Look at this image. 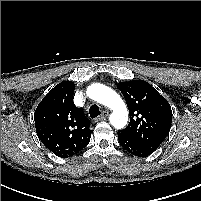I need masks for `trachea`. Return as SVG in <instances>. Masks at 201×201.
<instances>
[{
	"mask_svg": "<svg viewBox=\"0 0 201 201\" xmlns=\"http://www.w3.org/2000/svg\"><path fill=\"white\" fill-rule=\"evenodd\" d=\"M90 117L93 119L101 114L99 106L96 104L92 105L89 109Z\"/></svg>",
	"mask_w": 201,
	"mask_h": 201,
	"instance_id": "trachea-1",
	"label": "trachea"
}]
</instances>
